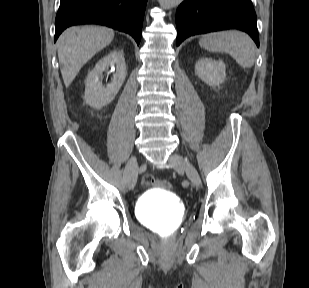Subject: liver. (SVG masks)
Segmentation results:
<instances>
[{
    "label": "liver",
    "instance_id": "obj_1",
    "mask_svg": "<svg viewBox=\"0 0 309 288\" xmlns=\"http://www.w3.org/2000/svg\"><path fill=\"white\" fill-rule=\"evenodd\" d=\"M114 38L107 27L83 26L66 29L57 41L61 74L66 87L75 79L80 69Z\"/></svg>",
    "mask_w": 309,
    "mask_h": 288
}]
</instances>
